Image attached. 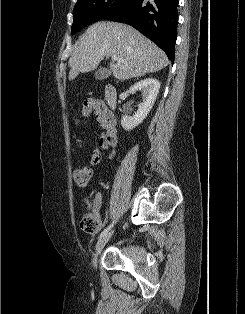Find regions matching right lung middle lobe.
<instances>
[{
    "label": "right lung middle lobe",
    "mask_w": 245,
    "mask_h": 314,
    "mask_svg": "<svg viewBox=\"0 0 245 314\" xmlns=\"http://www.w3.org/2000/svg\"><path fill=\"white\" fill-rule=\"evenodd\" d=\"M130 0H77L73 10V25L71 33L78 32L83 27L103 19Z\"/></svg>",
    "instance_id": "dd1d6c3e"
}]
</instances>
